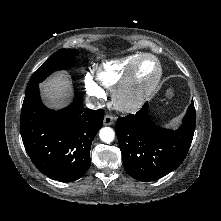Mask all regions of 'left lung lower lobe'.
Returning a JSON list of instances; mask_svg holds the SVG:
<instances>
[{
    "mask_svg": "<svg viewBox=\"0 0 221 221\" xmlns=\"http://www.w3.org/2000/svg\"><path fill=\"white\" fill-rule=\"evenodd\" d=\"M115 130L126 172L139 181H154L185 159L195 131L194 104L189 105L178 130L155 125L147 103L135 115L118 118Z\"/></svg>",
    "mask_w": 221,
    "mask_h": 221,
    "instance_id": "0a47b994",
    "label": "left lung lower lobe"
}]
</instances>
